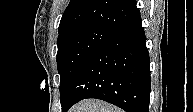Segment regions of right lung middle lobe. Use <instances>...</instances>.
I'll list each match as a JSON object with an SVG mask.
<instances>
[{
	"instance_id": "dd1d6c3e",
	"label": "right lung middle lobe",
	"mask_w": 193,
	"mask_h": 112,
	"mask_svg": "<svg viewBox=\"0 0 193 112\" xmlns=\"http://www.w3.org/2000/svg\"><path fill=\"white\" fill-rule=\"evenodd\" d=\"M113 33L112 30L92 25L78 26L59 33L57 68L60 74L61 106L81 67Z\"/></svg>"
}]
</instances>
